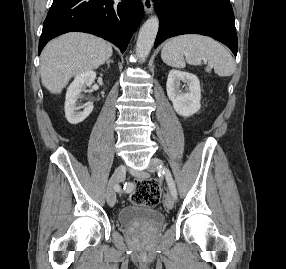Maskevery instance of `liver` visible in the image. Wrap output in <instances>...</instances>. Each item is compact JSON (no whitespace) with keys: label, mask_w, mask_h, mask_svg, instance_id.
<instances>
[{"label":"liver","mask_w":286,"mask_h":269,"mask_svg":"<svg viewBox=\"0 0 286 269\" xmlns=\"http://www.w3.org/2000/svg\"><path fill=\"white\" fill-rule=\"evenodd\" d=\"M113 50L103 39L86 33H68L50 41L41 55V81L59 94L69 80L104 64Z\"/></svg>","instance_id":"liver-1"}]
</instances>
